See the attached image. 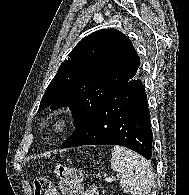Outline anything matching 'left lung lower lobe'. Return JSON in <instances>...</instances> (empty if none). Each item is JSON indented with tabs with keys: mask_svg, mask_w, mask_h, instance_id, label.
<instances>
[{
	"mask_svg": "<svg viewBox=\"0 0 189 195\" xmlns=\"http://www.w3.org/2000/svg\"><path fill=\"white\" fill-rule=\"evenodd\" d=\"M153 134L144 85L139 79L112 93L62 144L120 145L151 159Z\"/></svg>",
	"mask_w": 189,
	"mask_h": 195,
	"instance_id": "obj_1",
	"label": "left lung lower lobe"
}]
</instances>
